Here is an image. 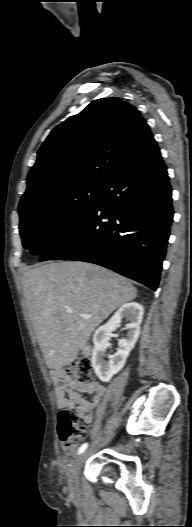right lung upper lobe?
Returning a JSON list of instances; mask_svg holds the SVG:
<instances>
[{"label": "right lung upper lobe", "mask_w": 192, "mask_h": 527, "mask_svg": "<svg viewBox=\"0 0 192 527\" xmlns=\"http://www.w3.org/2000/svg\"><path fill=\"white\" fill-rule=\"evenodd\" d=\"M152 140L134 106L118 97L95 100L51 131L19 205L83 183L105 185Z\"/></svg>", "instance_id": "cb5924a9"}]
</instances>
